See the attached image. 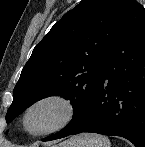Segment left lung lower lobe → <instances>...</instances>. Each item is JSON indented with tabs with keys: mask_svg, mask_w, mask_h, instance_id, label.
Here are the masks:
<instances>
[{
	"mask_svg": "<svg viewBox=\"0 0 145 147\" xmlns=\"http://www.w3.org/2000/svg\"><path fill=\"white\" fill-rule=\"evenodd\" d=\"M82 132L121 136L145 147V9L136 0L129 3L83 119L43 141Z\"/></svg>",
	"mask_w": 145,
	"mask_h": 147,
	"instance_id": "left-lung-lower-lobe-1",
	"label": "left lung lower lobe"
}]
</instances>
